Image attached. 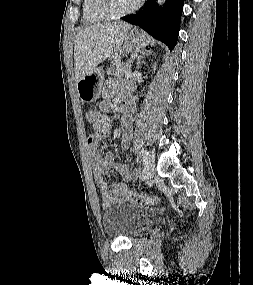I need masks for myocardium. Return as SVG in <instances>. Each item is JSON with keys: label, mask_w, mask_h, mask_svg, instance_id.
Masks as SVG:
<instances>
[{"label": "myocardium", "mask_w": 253, "mask_h": 285, "mask_svg": "<svg viewBox=\"0 0 253 285\" xmlns=\"http://www.w3.org/2000/svg\"><path fill=\"white\" fill-rule=\"evenodd\" d=\"M93 11L104 19H119L135 12L142 4L143 0H136V2L128 9L119 12L111 11L105 0H91Z\"/></svg>", "instance_id": "myocardium-1"}]
</instances>
